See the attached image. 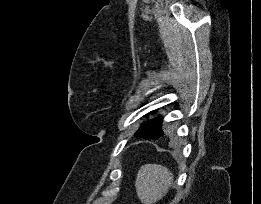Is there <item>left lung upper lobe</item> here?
I'll return each instance as SVG.
<instances>
[{
    "label": "left lung upper lobe",
    "mask_w": 261,
    "mask_h": 204,
    "mask_svg": "<svg viewBox=\"0 0 261 204\" xmlns=\"http://www.w3.org/2000/svg\"><path fill=\"white\" fill-rule=\"evenodd\" d=\"M162 117L144 122L138 129L136 136L145 139H154L163 132Z\"/></svg>",
    "instance_id": "5c2ea615"
}]
</instances>
